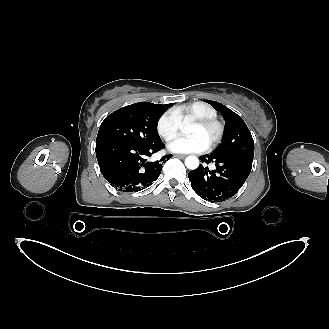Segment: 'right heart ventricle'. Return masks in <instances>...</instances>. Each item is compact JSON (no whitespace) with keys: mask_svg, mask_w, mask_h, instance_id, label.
<instances>
[{"mask_svg":"<svg viewBox=\"0 0 329 329\" xmlns=\"http://www.w3.org/2000/svg\"><path fill=\"white\" fill-rule=\"evenodd\" d=\"M180 122L192 121L197 118H216L217 111L209 104L201 101L192 102L174 109Z\"/></svg>","mask_w":329,"mask_h":329,"instance_id":"right-heart-ventricle-1","label":"right heart ventricle"}]
</instances>
